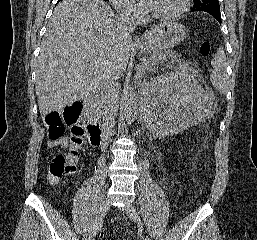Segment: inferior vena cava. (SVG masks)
<instances>
[{
	"label": "inferior vena cava",
	"instance_id": "602c4592",
	"mask_svg": "<svg viewBox=\"0 0 257 240\" xmlns=\"http://www.w3.org/2000/svg\"><path fill=\"white\" fill-rule=\"evenodd\" d=\"M134 16L125 11L120 19V30L123 33L134 31L136 27ZM102 99L104 101L102 128L105 137L112 135V126L118 110L119 83L116 80H109L102 85Z\"/></svg>",
	"mask_w": 257,
	"mask_h": 240
}]
</instances>
